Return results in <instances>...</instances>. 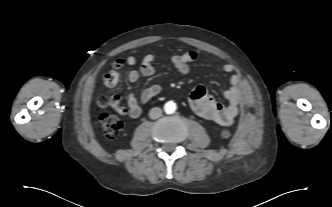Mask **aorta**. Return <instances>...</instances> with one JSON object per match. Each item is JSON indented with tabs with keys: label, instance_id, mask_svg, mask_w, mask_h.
I'll list each match as a JSON object with an SVG mask.
<instances>
[{
	"label": "aorta",
	"instance_id": "obj_1",
	"mask_svg": "<svg viewBox=\"0 0 332 207\" xmlns=\"http://www.w3.org/2000/svg\"><path fill=\"white\" fill-rule=\"evenodd\" d=\"M164 110L166 114H173L176 111V104L172 101H168L164 105Z\"/></svg>",
	"mask_w": 332,
	"mask_h": 207
}]
</instances>
